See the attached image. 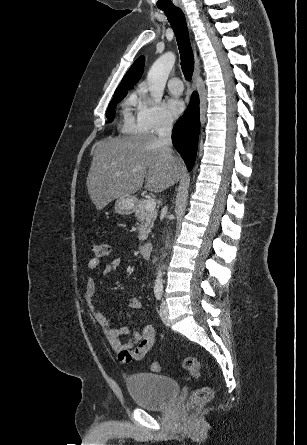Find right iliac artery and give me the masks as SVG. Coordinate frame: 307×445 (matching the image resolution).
<instances>
[{
	"instance_id": "right-iliac-artery-1",
	"label": "right iliac artery",
	"mask_w": 307,
	"mask_h": 445,
	"mask_svg": "<svg viewBox=\"0 0 307 445\" xmlns=\"http://www.w3.org/2000/svg\"><path fill=\"white\" fill-rule=\"evenodd\" d=\"M155 297L157 300L162 299V290H155Z\"/></svg>"
}]
</instances>
